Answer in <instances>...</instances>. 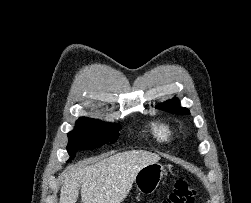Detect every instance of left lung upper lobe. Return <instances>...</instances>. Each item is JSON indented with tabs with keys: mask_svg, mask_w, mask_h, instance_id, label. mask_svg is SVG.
Instances as JSON below:
<instances>
[{
	"mask_svg": "<svg viewBox=\"0 0 251 203\" xmlns=\"http://www.w3.org/2000/svg\"><path fill=\"white\" fill-rule=\"evenodd\" d=\"M158 108L174 114H190L187 108H181L178 99L174 98L165 103L159 104Z\"/></svg>",
	"mask_w": 251,
	"mask_h": 203,
	"instance_id": "1",
	"label": "left lung upper lobe"
}]
</instances>
